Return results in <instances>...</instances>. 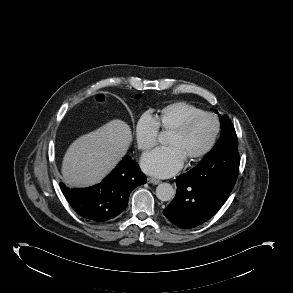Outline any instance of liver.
<instances>
[{"mask_svg": "<svg viewBox=\"0 0 293 293\" xmlns=\"http://www.w3.org/2000/svg\"><path fill=\"white\" fill-rule=\"evenodd\" d=\"M132 134L119 119L76 139L63 158V181L73 187L99 183L126 154Z\"/></svg>", "mask_w": 293, "mask_h": 293, "instance_id": "liver-1", "label": "liver"}]
</instances>
